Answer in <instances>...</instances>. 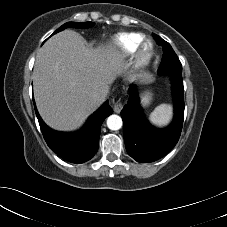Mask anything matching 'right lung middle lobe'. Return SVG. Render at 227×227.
Returning <instances> with one entry per match:
<instances>
[{
    "label": "right lung middle lobe",
    "instance_id": "right-lung-middle-lobe-1",
    "mask_svg": "<svg viewBox=\"0 0 227 227\" xmlns=\"http://www.w3.org/2000/svg\"><path fill=\"white\" fill-rule=\"evenodd\" d=\"M92 22H67L64 25H62L59 29H57L52 35L56 34L57 32H60L66 28L73 27V28H87L91 26Z\"/></svg>",
    "mask_w": 227,
    "mask_h": 227
}]
</instances>
